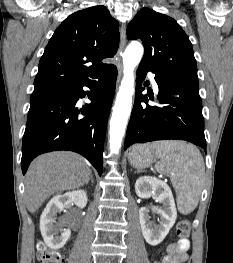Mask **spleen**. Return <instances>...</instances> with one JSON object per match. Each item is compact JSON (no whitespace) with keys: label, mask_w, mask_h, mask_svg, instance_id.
I'll list each match as a JSON object with an SVG mask.
<instances>
[{"label":"spleen","mask_w":233,"mask_h":263,"mask_svg":"<svg viewBox=\"0 0 233 263\" xmlns=\"http://www.w3.org/2000/svg\"><path fill=\"white\" fill-rule=\"evenodd\" d=\"M151 148L160 159L155 165L156 170L167 174L175 188L179 212L190 214L198 205L205 178L200 151L193 144L179 140L154 142Z\"/></svg>","instance_id":"spleen-1"}]
</instances>
